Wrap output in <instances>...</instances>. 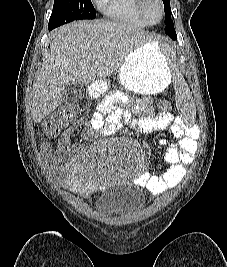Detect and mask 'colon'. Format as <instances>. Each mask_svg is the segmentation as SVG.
Listing matches in <instances>:
<instances>
[{
    "instance_id": "obj_1",
    "label": "colon",
    "mask_w": 227,
    "mask_h": 267,
    "mask_svg": "<svg viewBox=\"0 0 227 267\" xmlns=\"http://www.w3.org/2000/svg\"><path fill=\"white\" fill-rule=\"evenodd\" d=\"M171 100H161L160 109H171ZM81 107L72 106L49 115L43 122L42 133L48 138L58 137L80 114Z\"/></svg>"
}]
</instances>
